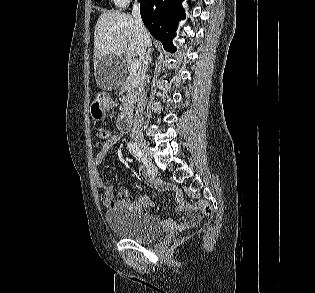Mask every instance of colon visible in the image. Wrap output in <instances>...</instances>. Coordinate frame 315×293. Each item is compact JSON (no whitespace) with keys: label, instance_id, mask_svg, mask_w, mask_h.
<instances>
[{"label":"colon","instance_id":"1","mask_svg":"<svg viewBox=\"0 0 315 293\" xmlns=\"http://www.w3.org/2000/svg\"><path fill=\"white\" fill-rule=\"evenodd\" d=\"M94 136L98 140H105L108 137V132L104 127L98 126L94 128ZM200 209L206 215L212 213V206L209 203H201Z\"/></svg>","mask_w":315,"mask_h":293}]
</instances>
